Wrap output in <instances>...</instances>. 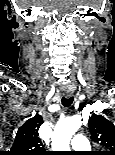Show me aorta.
Segmentation results:
<instances>
[{
	"instance_id": "aorta-1",
	"label": "aorta",
	"mask_w": 115,
	"mask_h": 155,
	"mask_svg": "<svg viewBox=\"0 0 115 155\" xmlns=\"http://www.w3.org/2000/svg\"><path fill=\"white\" fill-rule=\"evenodd\" d=\"M81 117L78 115L60 120L54 129L52 149L55 151H69L72 136L81 127Z\"/></svg>"
}]
</instances>
